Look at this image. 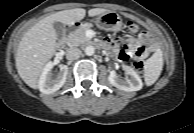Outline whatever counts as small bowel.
<instances>
[{"label": "small bowel", "instance_id": "obj_1", "mask_svg": "<svg viewBox=\"0 0 194 133\" xmlns=\"http://www.w3.org/2000/svg\"><path fill=\"white\" fill-rule=\"evenodd\" d=\"M101 44L121 61H127L131 58L134 59L136 55L143 58L154 49V41L149 32H142L137 38L117 41L103 40Z\"/></svg>", "mask_w": 194, "mask_h": 133}]
</instances>
